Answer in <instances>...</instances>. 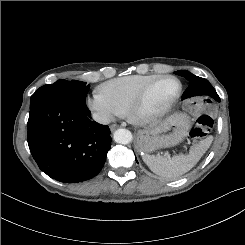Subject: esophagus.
Wrapping results in <instances>:
<instances>
[{"mask_svg":"<svg viewBox=\"0 0 245 245\" xmlns=\"http://www.w3.org/2000/svg\"><path fill=\"white\" fill-rule=\"evenodd\" d=\"M117 128H119V125H117V124H112V125L110 126V130H111V131H114V130H116Z\"/></svg>","mask_w":245,"mask_h":245,"instance_id":"34e87169","label":"esophagus"}]
</instances>
